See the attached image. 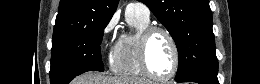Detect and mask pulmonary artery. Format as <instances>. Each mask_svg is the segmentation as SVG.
<instances>
[{
    "mask_svg": "<svg viewBox=\"0 0 260 84\" xmlns=\"http://www.w3.org/2000/svg\"><path fill=\"white\" fill-rule=\"evenodd\" d=\"M126 14H137L147 20L150 18L148 7L140 2L129 3L126 7Z\"/></svg>",
    "mask_w": 260,
    "mask_h": 84,
    "instance_id": "e3ab8cb5",
    "label": "pulmonary artery"
}]
</instances>
